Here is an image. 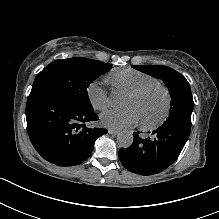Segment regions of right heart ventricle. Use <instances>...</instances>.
Wrapping results in <instances>:
<instances>
[{
	"label": "right heart ventricle",
	"instance_id": "1",
	"mask_svg": "<svg viewBox=\"0 0 219 219\" xmlns=\"http://www.w3.org/2000/svg\"><path fill=\"white\" fill-rule=\"evenodd\" d=\"M109 82L116 91L129 93L148 83L158 82V80L142 71L126 68L112 73Z\"/></svg>",
	"mask_w": 219,
	"mask_h": 219
}]
</instances>
